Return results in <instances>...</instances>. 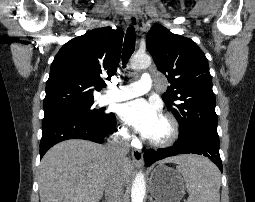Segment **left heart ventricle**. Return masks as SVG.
<instances>
[{"label":"left heart ventricle","instance_id":"left-heart-ventricle-1","mask_svg":"<svg viewBox=\"0 0 255 202\" xmlns=\"http://www.w3.org/2000/svg\"><path fill=\"white\" fill-rule=\"evenodd\" d=\"M167 134L168 125L162 118H160L159 122L157 123V125L155 126V128L153 129L152 133L148 138L161 139L164 138Z\"/></svg>","mask_w":255,"mask_h":202}]
</instances>
